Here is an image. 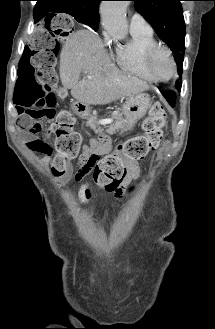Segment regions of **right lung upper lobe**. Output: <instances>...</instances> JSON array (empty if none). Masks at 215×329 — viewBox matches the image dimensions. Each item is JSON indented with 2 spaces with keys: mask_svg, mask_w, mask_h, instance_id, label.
<instances>
[{
  "mask_svg": "<svg viewBox=\"0 0 215 329\" xmlns=\"http://www.w3.org/2000/svg\"><path fill=\"white\" fill-rule=\"evenodd\" d=\"M34 8V19H48L57 13H65L63 10L69 8L81 12L88 21L99 22V3L101 0H36Z\"/></svg>",
  "mask_w": 215,
  "mask_h": 329,
  "instance_id": "right-lung-upper-lobe-1",
  "label": "right lung upper lobe"
}]
</instances>
